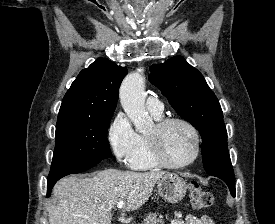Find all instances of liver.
Here are the masks:
<instances>
[{
  "instance_id": "6515ba94",
  "label": "liver",
  "mask_w": 275,
  "mask_h": 224,
  "mask_svg": "<svg viewBox=\"0 0 275 224\" xmlns=\"http://www.w3.org/2000/svg\"><path fill=\"white\" fill-rule=\"evenodd\" d=\"M165 174L107 169L93 177H65L48 203L49 224H111V212L120 201L126 200V211L139 209Z\"/></svg>"
}]
</instances>
